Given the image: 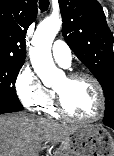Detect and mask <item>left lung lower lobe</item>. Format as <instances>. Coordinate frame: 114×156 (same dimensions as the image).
Instances as JSON below:
<instances>
[{
    "instance_id": "1",
    "label": "left lung lower lobe",
    "mask_w": 114,
    "mask_h": 156,
    "mask_svg": "<svg viewBox=\"0 0 114 156\" xmlns=\"http://www.w3.org/2000/svg\"><path fill=\"white\" fill-rule=\"evenodd\" d=\"M107 126H109V127H111V128H113V129H114V125H107Z\"/></svg>"
}]
</instances>
